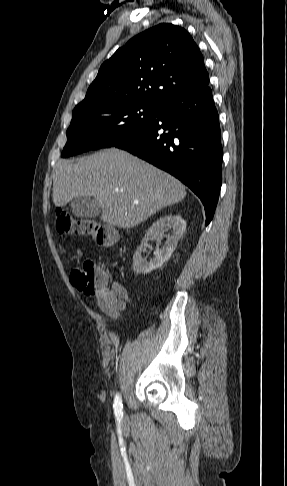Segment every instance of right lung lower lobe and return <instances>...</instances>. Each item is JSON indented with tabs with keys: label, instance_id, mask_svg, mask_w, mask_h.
<instances>
[{
	"label": "right lung lower lobe",
	"instance_id": "98d812e1",
	"mask_svg": "<svg viewBox=\"0 0 287 486\" xmlns=\"http://www.w3.org/2000/svg\"><path fill=\"white\" fill-rule=\"evenodd\" d=\"M115 147L165 170L202 201L206 225L212 220L222 183L220 125L209 85L160 105L138 135Z\"/></svg>",
	"mask_w": 287,
	"mask_h": 486
}]
</instances>
